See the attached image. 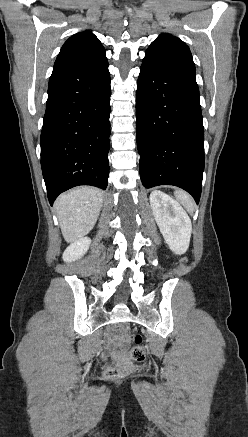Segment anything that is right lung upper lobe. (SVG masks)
<instances>
[{
  "mask_svg": "<svg viewBox=\"0 0 248 437\" xmlns=\"http://www.w3.org/2000/svg\"><path fill=\"white\" fill-rule=\"evenodd\" d=\"M107 60L105 49L97 37L89 31L76 33L62 46L55 67H86Z\"/></svg>",
  "mask_w": 248,
  "mask_h": 437,
  "instance_id": "obj_1",
  "label": "right lung upper lobe"
}]
</instances>
